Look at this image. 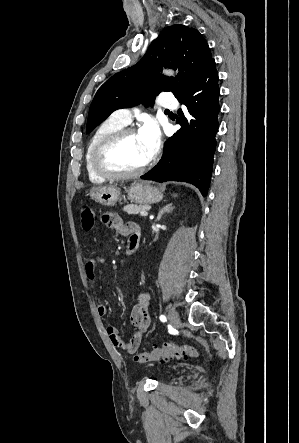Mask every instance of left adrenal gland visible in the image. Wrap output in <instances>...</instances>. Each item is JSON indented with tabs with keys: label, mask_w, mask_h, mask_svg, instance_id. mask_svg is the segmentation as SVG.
<instances>
[{
	"label": "left adrenal gland",
	"mask_w": 299,
	"mask_h": 443,
	"mask_svg": "<svg viewBox=\"0 0 299 443\" xmlns=\"http://www.w3.org/2000/svg\"><path fill=\"white\" fill-rule=\"evenodd\" d=\"M173 208L174 207L172 203L166 204L163 208L160 209L156 221H159L164 213L171 212Z\"/></svg>",
	"instance_id": "left-adrenal-gland-1"
}]
</instances>
